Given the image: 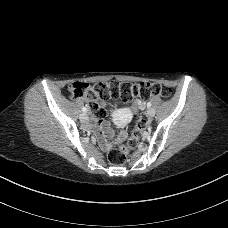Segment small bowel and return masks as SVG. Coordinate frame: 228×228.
<instances>
[{"label":"small bowel","instance_id":"c3829d8e","mask_svg":"<svg viewBox=\"0 0 228 228\" xmlns=\"http://www.w3.org/2000/svg\"><path fill=\"white\" fill-rule=\"evenodd\" d=\"M103 107H104V105H103ZM134 107H138L140 110L144 109V105L141 103V101L135 102ZM103 115H104V111H103ZM116 122L120 126H122L125 124L126 121H125L124 117L118 115L116 117ZM88 128L95 133L96 137L99 140L100 146L104 150H108L111 147L112 143L122 142L126 137L125 131H121L117 135H114V132H113L109 122L105 119L102 120L101 129L96 128L94 121H92V123L88 125Z\"/></svg>","mask_w":228,"mask_h":228}]
</instances>
